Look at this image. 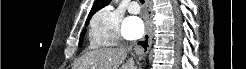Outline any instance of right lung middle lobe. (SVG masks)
Masks as SVG:
<instances>
[{"label":"right lung middle lobe","mask_w":246,"mask_h":69,"mask_svg":"<svg viewBox=\"0 0 246 69\" xmlns=\"http://www.w3.org/2000/svg\"><path fill=\"white\" fill-rule=\"evenodd\" d=\"M88 23H89V21H86V24H85V25L87 26ZM85 32H86V29L83 30V32H82V34H81V36H80V39H79V46H81L82 43H83V37H84Z\"/></svg>","instance_id":"dd1d6c3e"}]
</instances>
